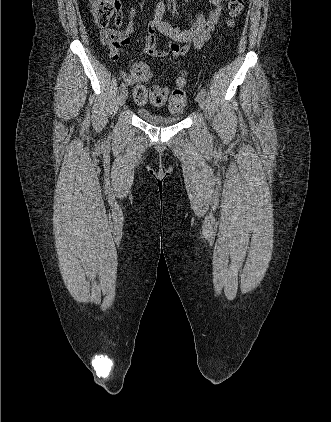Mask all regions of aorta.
I'll list each match as a JSON object with an SVG mask.
<instances>
[{"label":"aorta","mask_w":331,"mask_h":422,"mask_svg":"<svg viewBox=\"0 0 331 422\" xmlns=\"http://www.w3.org/2000/svg\"><path fill=\"white\" fill-rule=\"evenodd\" d=\"M170 5H171V2H170V0H168V3H167L168 9H170Z\"/></svg>","instance_id":"762f6f07"}]
</instances>
